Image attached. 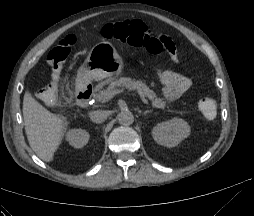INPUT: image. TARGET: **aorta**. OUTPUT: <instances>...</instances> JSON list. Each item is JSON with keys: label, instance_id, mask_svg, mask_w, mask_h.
Segmentation results:
<instances>
[{"label": "aorta", "instance_id": "obj_1", "mask_svg": "<svg viewBox=\"0 0 254 216\" xmlns=\"http://www.w3.org/2000/svg\"><path fill=\"white\" fill-rule=\"evenodd\" d=\"M117 119L121 125L129 126L134 122V115L129 110H123L117 115Z\"/></svg>", "mask_w": 254, "mask_h": 216}]
</instances>
